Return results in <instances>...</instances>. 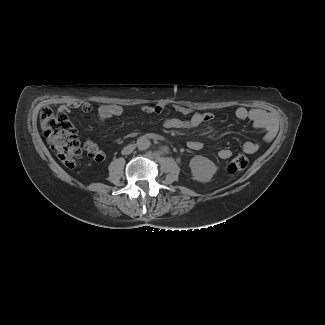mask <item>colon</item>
<instances>
[{"label":"colon","instance_id":"colon-1","mask_svg":"<svg viewBox=\"0 0 325 325\" xmlns=\"http://www.w3.org/2000/svg\"><path fill=\"white\" fill-rule=\"evenodd\" d=\"M40 123L47 142L59 160L66 167L73 168L82 155L77 135L66 131L59 118L49 107L41 109ZM248 163V158L245 155H238L228 164V171L237 173L244 170Z\"/></svg>","mask_w":325,"mask_h":325}]
</instances>
